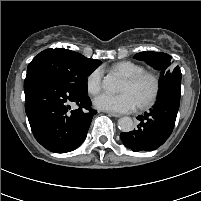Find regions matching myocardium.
I'll list each match as a JSON object with an SVG mask.
<instances>
[{"mask_svg":"<svg viewBox=\"0 0 201 201\" xmlns=\"http://www.w3.org/2000/svg\"><path fill=\"white\" fill-rule=\"evenodd\" d=\"M143 79H149L152 82V91L147 99L138 104L139 108H148L152 106L160 93V79L157 74L151 71H142L140 73L125 77V80L130 84H137Z\"/></svg>","mask_w":201,"mask_h":201,"instance_id":"myocardium-1","label":"myocardium"}]
</instances>
